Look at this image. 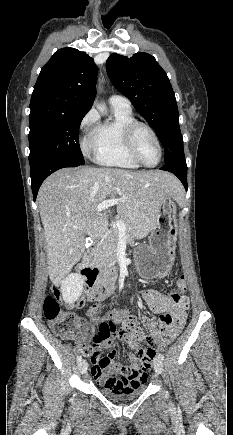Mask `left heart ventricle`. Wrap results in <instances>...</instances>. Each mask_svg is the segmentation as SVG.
<instances>
[{
	"label": "left heart ventricle",
	"mask_w": 233,
	"mask_h": 435,
	"mask_svg": "<svg viewBox=\"0 0 233 435\" xmlns=\"http://www.w3.org/2000/svg\"><path fill=\"white\" fill-rule=\"evenodd\" d=\"M135 144L144 163L148 165L157 163L159 152L153 138L147 130L143 128L138 129L135 134Z\"/></svg>",
	"instance_id": "left-heart-ventricle-1"
}]
</instances>
